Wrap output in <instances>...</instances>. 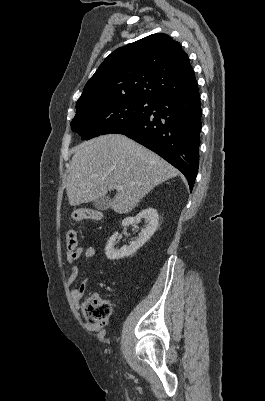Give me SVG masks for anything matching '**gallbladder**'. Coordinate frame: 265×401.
<instances>
[{"label": "gallbladder", "instance_id": "obj_1", "mask_svg": "<svg viewBox=\"0 0 265 401\" xmlns=\"http://www.w3.org/2000/svg\"><path fill=\"white\" fill-rule=\"evenodd\" d=\"M93 207L98 209V211H107L110 207L109 196H100V198H96V201H93Z\"/></svg>", "mask_w": 265, "mask_h": 401}]
</instances>
